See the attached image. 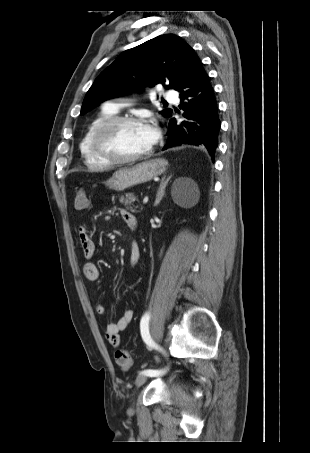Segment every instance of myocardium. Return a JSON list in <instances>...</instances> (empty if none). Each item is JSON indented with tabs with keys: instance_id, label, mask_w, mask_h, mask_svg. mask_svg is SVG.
<instances>
[{
	"instance_id": "obj_1",
	"label": "myocardium",
	"mask_w": 310,
	"mask_h": 453,
	"mask_svg": "<svg viewBox=\"0 0 310 453\" xmlns=\"http://www.w3.org/2000/svg\"><path fill=\"white\" fill-rule=\"evenodd\" d=\"M126 124H142V120L136 116H114L103 122L95 130L91 143L93 151L97 156L110 164H129L152 154V146L148 150L130 157H120L109 151L107 148L108 138L118 127Z\"/></svg>"
}]
</instances>
